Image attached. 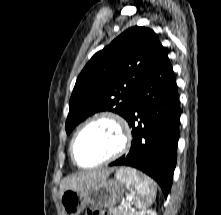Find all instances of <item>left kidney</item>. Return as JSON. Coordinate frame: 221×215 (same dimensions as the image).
<instances>
[{
	"label": "left kidney",
	"mask_w": 221,
	"mask_h": 215,
	"mask_svg": "<svg viewBox=\"0 0 221 215\" xmlns=\"http://www.w3.org/2000/svg\"><path fill=\"white\" fill-rule=\"evenodd\" d=\"M135 215H157V213L154 210H142L137 212Z\"/></svg>",
	"instance_id": "1"
}]
</instances>
